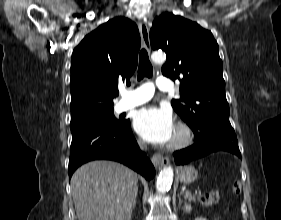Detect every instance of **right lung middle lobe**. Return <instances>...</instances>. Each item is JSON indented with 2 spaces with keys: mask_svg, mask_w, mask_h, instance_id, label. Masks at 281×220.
Returning <instances> with one entry per match:
<instances>
[{
  "mask_svg": "<svg viewBox=\"0 0 281 220\" xmlns=\"http://www.w3.org/2000/svg\"><path fill=\"white\" fill-rule=\"evenodd\" d=\"M113 111V109H109L106 111L71 119V132L74 133L77 130L92 127L118 128L123 126L127 120H125L124 118H121L119 120L116 119Z\"/></svg>",
  "mask_w": 281,
  "mask_h": 220,
  "instance_id": "right-lung-middle-lobe-1",
  "label": "right lung middle lobe"
}]
</instances>
